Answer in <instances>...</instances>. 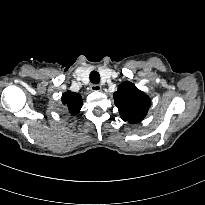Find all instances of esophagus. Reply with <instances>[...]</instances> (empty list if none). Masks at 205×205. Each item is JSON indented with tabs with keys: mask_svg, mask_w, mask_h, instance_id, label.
<instances>
[{
	"mask_svg": "<svg viewBox=\"0 0 205 205\" xmlns=\"http://www.w3.org/2000/svg\"><path fill=\"white\" fill-rule=\"evenodd\" d=\"M90 89H91V91L97 92V91L101 90V86L98 84H93V85H91Z\"/></svg>",
	"mask_w": 205,
	"mask_h": 205,
	"instance_id": "esophagus-1",
	"label": "esophagus"
}]
</instances>
